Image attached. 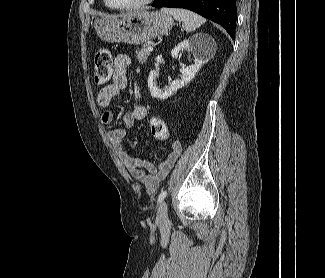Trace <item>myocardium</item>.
Segmentation results:
<instances>
[{
  "label": "myocardium",
  "mask_w": 325,
  "mask_h": 278,
  "mask_svg": "<svg viewBox=\"0 0 325 278\" xmlns=\"http://www.w3.org/2000/svg\"><path fill=\"white\" fill-rule=\"evenodd\" d=\"M104 1H105L106 5L111 9L118 10V11H129V10H135V9L145 7V6L149 5L150 3H152L154 0H141L137 3L124 5V6L113 5L109 0H104Z\"/></svg>",
  "instance_id": "f54148a6"
}]
</instances>
